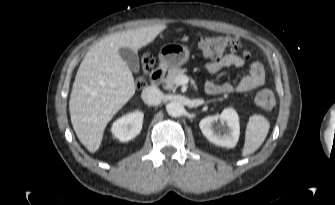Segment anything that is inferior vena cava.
Instances as JSON below:
<instances>
[{
  "label": "inferior vena cava",
  "instance_id": "inferior-vena-cava-1",
  "mask_svg": "<svg viewBox=\"0 0 335 205\" xmlns=\"http://www.w3.org/2000/svg\"><path fill=\"white\" fill-rule=\"evenodd\" d=\"M141 98L148 105H157L163 98L162 92L155 86H148L143 89Z\"/></svg>",
  "mask_w": 335,
  "mask_h": 205
}]
</instances>
